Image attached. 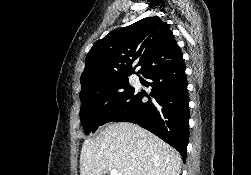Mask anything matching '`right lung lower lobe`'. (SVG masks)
<instances>
[{
  "mask_svg": "<svg viewBox=\"0 0 251 175\" xmlns=\"http://www.w3.org/2000/svg\"><path fill=\"white\" fill-rule=\"evenodd\" d=\"M140 78L151 86L149 97L133 90L103 119L101 125L112 122H132L151 131L179 151L183 161L189 142V97L183 59L154 69ZM149 101H142L143 97Z\"/></svg>",
  "mask_w": 251,
  "mask_h": 175,
  "instance_id": "right-lung-lower-lobe-1",
  "label": "right lung lower lobe"
}]
</instances>
